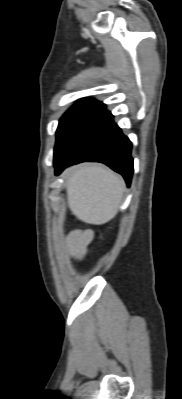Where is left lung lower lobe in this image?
<instances>
[{
	"label": "left lung lower lobe",
	"instance_id": "obj_1",
	"mask_svg": "<svg viewBox=\"0 0 182 399\" xmlns=\"http://www.w3.org/2000/svg\"><path fill=\"white\" fill-rule=\"evenodd\" d=\"M101 162L120 173L127 186L133 174L131 142L113 122L105 106L88 115L61 154L54 159L55 175L81 162Z\"/></svg>",
	"mask_w": 182,
	"mask_h": 399
}]
</instances>
